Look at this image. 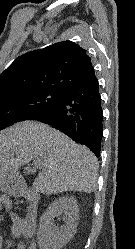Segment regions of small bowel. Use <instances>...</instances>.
I'll list each match as a JSON object with an SVG mask.
<instances>
[{
    "label": "small bowel",
    "mask_w": 135,
    "mask_h": 249,
    "mask_svg": "<svg viewBox=\"0 0 135 249\" xmlns=\"http://www.w3.org/2000/svg\"><path fill=\"white\" fill-rule=\"evenodd\" d=\"M0 210H5L9 213V216L12 220L11 232L12 235L19 239L17 249H36L35 242V212L31 210H25L19 208L22 212L25 213V218H21L15 211L14 206L11 200L4 196H0ZM3 245V236L0 232V249Z\"/></svg>",
    "instance_id": "obj_1"
}]
</instances>
